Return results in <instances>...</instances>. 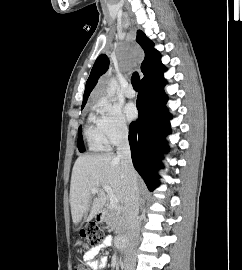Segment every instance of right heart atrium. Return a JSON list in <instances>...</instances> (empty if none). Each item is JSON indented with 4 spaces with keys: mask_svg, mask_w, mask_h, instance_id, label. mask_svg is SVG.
<instances>
[{
    "mask_svg": "<svg viewBox=\"0 0 242 270\" xmlns=\"http://www.w3.org/2000/svg\"><path fill=\"white\" fill-rule=\"evenodd\" d=\"M95 107L107 144L117 145L124 141L129 135V126L121 108L106 99L98 100Z\"/></svg>",
    "mask_w": 242,
    "mask_h": 270,
    "instance_id": "obj_1",
    "label": "right heart atrium"
}]
</instances>
